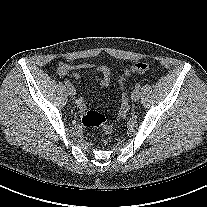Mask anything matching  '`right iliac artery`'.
<instances>
[{"label": "right iliac artery", "mask_w": 207, "mask_h": 207, "mask_svg": "<svg viewBox=\"0 0 207 207\" xmlns=\"http://www.w3.org/2000/svg\"><path fill=\"white\" fill-rule=\"evenodd\" d=\"M65 85H66L67 87H69V86L71 85L70 81L66 80V81H65Z\"/></svg>", "instance_id": "1"}]
</instances>
